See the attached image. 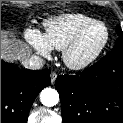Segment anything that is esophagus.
<instances>
[{
  "mask_svg": "<svg viewBox=\"0 0 123 123\" xmlns=\"http://www.w3.org/2000/svg\"><path fill=\"white\" fill-rule=\"evenodd\" d=\"M50 78H51V84H54L57 78V74L55 72H51Z\"/></svg>",
  "mask_w": 123,
  "mask_h": 123,
  "instance_id": "34e87169",
  "label": "esophagus"
}]
</instances>
